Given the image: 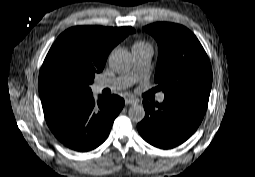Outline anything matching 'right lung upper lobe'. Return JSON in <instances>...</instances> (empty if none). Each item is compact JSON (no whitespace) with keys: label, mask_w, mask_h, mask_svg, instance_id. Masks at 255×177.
Masks as SVG:
<instances>
[{"label":"right lung upper lobe","mask_w":255,"mask_h":177,"mask_svg":"<svg viewBox=\"0 0 255 177\" xmlns=\"http://www.w3.org/2000/svg\"><path fill=\"white\" fill-rule=\"evenodd\" d=\"M133 32L132 27H72L63 32L52 47L66 45L78 54L87 56L94 65L104 67L110 51Z\"/></svg>","instance_id":"obj_1"}]
</instances>
